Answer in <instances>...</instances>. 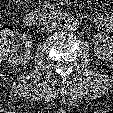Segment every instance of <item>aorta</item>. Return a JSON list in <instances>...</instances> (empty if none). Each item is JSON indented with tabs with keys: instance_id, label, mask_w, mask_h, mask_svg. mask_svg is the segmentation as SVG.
<instances>
[{
	"instance_id": "aorta-1",
	"label": "aorta",
	"mask_w": 113,
	"mask_h": 113,
	"mask_svg": "<svg viewBox=\"0 0 113 113\" xmlns=\"http://www.w3.org/2000/svg\"><path fill=\"white\" fill-rule=\"evenodd\" d=\"M80 22L75 17H68L64 21V29L68 32H74L79 28Z\"/></svg>"
}]
</instances>
